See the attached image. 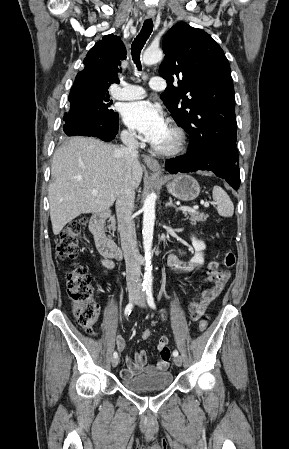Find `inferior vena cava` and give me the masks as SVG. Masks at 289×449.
<instances>
[{
	"label": "inferior vena cava",
	"mask_w": 289,
	"mask_h": 449,
	"mask_svg": "<svg viewBox=\"0 0 289 449\" xmlns=\"http://www.w3.org/2000/svg\"><path fill=\"white\" fill-rule=\"evenodd\" d=\"M124 147L121 151L125 158V169L116 200V214L121 246L126 263L127 287L129 292L142 290L139 281L141 273V256L136 249V230L132 218L135 191L132 186L131 170L138 158V141L134 134L125 133L121 136Z\"/></svg>",
	"instance_id": "inferior-vena-cava-1"
}]
</instances>
